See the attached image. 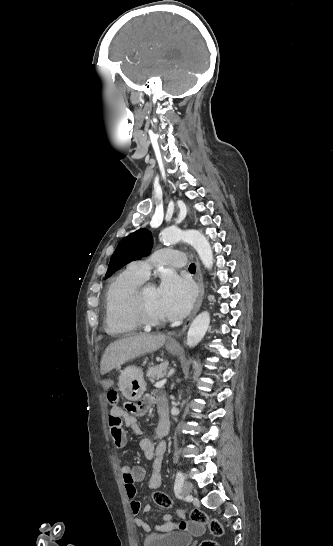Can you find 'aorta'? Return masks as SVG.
<instances>
[{
    "instance_id": "aorta-1",
    "label": "aorta",
    "mask_w": 333,
    "mask_h": 546,
    "mask_svg": "<svg viewBox=\"0 0 333 546\" xmlns=\"http://www.w3.org/2000/svg\"><path fill=\"white\" fill-rule=\"evenodd\" d=\"M161 240L164 243L185 242L190 244L198 253L203 265L207 269L213 266V252L209 241L198 230L169 228L162 232ZM210 324V315L207 311L200 313L191 323L187 333V343L195 347L205 336Z\"/></svg>"
}]
</instances>
